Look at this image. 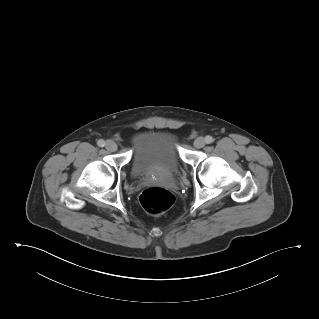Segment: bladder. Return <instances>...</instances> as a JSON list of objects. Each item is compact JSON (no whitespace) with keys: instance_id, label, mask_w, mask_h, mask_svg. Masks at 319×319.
Returning a JSON list of instances; mask_svg holds the SVG:
<instances>
[{"instance_id":"bladder-1","label":"bladder","mask_w":319,"mask_h":319,"mask_svg":"<svg viewBox=\"0 0 319 319\" xmlns=\"http://www.w3.org/2000/svg\"><path fill=\"white\" fill-rule=\"evenodd\" d=\"M182 166L178 139L168 130H149L139 134L132 152L131 173L142 177L151 172L175 174Z\"/></svg>"}]
</instances>
